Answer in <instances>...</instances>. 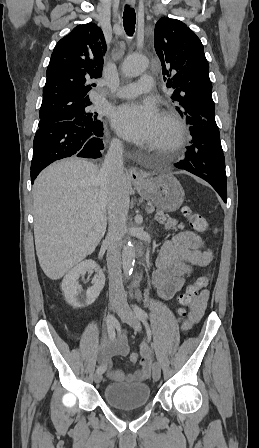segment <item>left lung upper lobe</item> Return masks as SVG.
Returning <instances> with one entry per match:
<instances>
[{"label": "left lung upper lobe", "instance_id": "5c2ea615", "mask_svg": "<svg viewBox=\"0 0 259 448\" xmlns=\"http://www.w3.org/2000/svg\"><path fill=\"white\" fill-rule=\"evenodd\" d=\"M154 45L180 115L215 119L209 64L197 35L183 22L163 17L155 25Z\"/></svg>", "mask_w": 259, "mask_h": 448}]
</instances>
